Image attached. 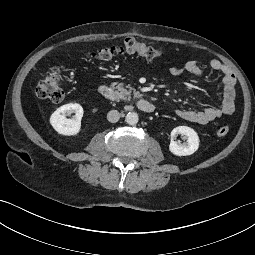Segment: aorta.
Segmentation results:
<instances>
[{"mask_svg":"<svg viewBox=\"0 0 255 255\" xmlns=\"http://www.w3.org/2000/svg\"><path fill=\"white\" fill-rule=\"evenodd\" d=\"M126 122L129 124V125H136L138 123V120H139V117H138V114L135 113V112H129L127 113L126 115Z\"/></svg>","mask_w":255,"mask_h":255,"instance_id":"762f6f07","label":"aorta"}]
</instances>
